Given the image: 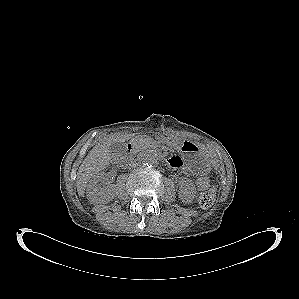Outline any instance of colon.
<instances>
[{
  "label": "colon",
  "instance_id": "1",
  "mask_svg": "<svg viewBox=\"0 0 299 299\" xmlns=\"http://www.w3.org/2000/svg\"><path fill=\"white\" fill-rule=\"evenodd\" d=\"M197 185L202 192L197 197V202L202 208H209L215 199L214 191L210 189V180L207 176L201 175L197 179Z\"/></svg>",
  "mask_w": 299,
  "mask_h": 299
}]
</instances>
